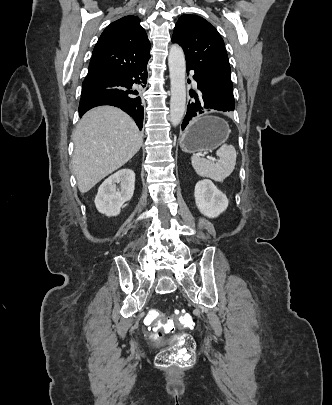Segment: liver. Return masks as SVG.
Listing matches in <instances>:
<instances>
[{
	"instance_id": "1",
	"label": "liver",
	"mask_w": 332,
	"mask_h": 405,
	"mask_svg": "<svg viewBox=\"0 0 332 405\" xmlns=\"http://www.w3.org/2000/svg\"><path fill=\"white\" fill-rule=\"evenodd\" d=\"M72 170L81 193L126 164L143 144V135L122 110L101 106L88 111L74 136Z\"/></svg>"
}]
</instances>
